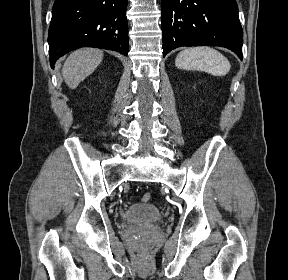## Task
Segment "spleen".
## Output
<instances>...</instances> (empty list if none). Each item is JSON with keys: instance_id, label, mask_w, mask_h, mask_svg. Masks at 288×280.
<instances>
[{"instance_id": "3e777b00", "label": "spleen", "mask_w": 288, "mask_h": 280, "mask_svg": "<svg viewBox=\"0 0 288 280\" xmlns=\"http://www.w3.org/2000/svg\"><path fill=\"white\" fill-rule=\"evenodd\" d=\"M175 65L184 70H200L214 76H224L231 68L228 59L211 47H191L181 51Z\"/></svg>"}]
</instances>
